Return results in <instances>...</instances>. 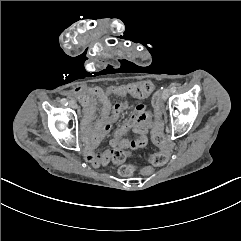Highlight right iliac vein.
<instances>
[{"label": "right iliac vein", "instance_id": "63e3f726", "mask_svg": "<svg viewBox=\"0 0 241 241\" xmlns=\"http://www.w3.org/2000/svg\"><path fill=\"white\" fill-rule=\"evenodd\" d=\"M69 104L72 108H77V104L75 101H70Z\"/></svg>", "mask_w": 241, "mask_h": 241}]
</instances>
